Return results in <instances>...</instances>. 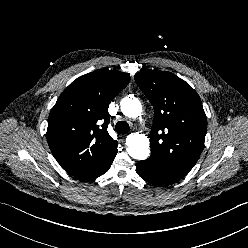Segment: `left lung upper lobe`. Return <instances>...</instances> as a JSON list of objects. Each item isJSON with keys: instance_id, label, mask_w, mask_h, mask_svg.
I'll use <instances>...</instances> for the list:
<instances>
[{"instance_id": "obj_1", "label": "left lung upper lobe", "mask_w": 248, "mask_h": 248, "mask_svg": "<svg viewBox=\"0 0 248 248\" xmlns=\"http://www.w3.org/2000/svg\"><path fill=\"white\" fill-rule=\"evenodd\" d=\"M135 81L154 107L151 157L184 177L204 148L207 118L200 97L170 72H137Z\"/></svg>"}]
</instances>
